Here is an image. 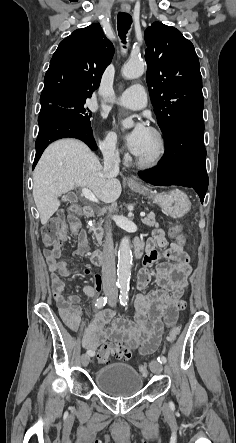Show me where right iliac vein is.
Masks as SVG:
<instances>
[{"label": "right iliac vein", "instance_id": "63e3f726", "mask_svg": "<svg viewBox=\"0 0 236 443\" xmlns=\"http://www.w3.org/2000/svg\"><path fill=\"white\" fill-rule=\"evenodd\" d=\"M90 362V356L88 354H82L81 355V363L84 367L88 366Z\"/></svg>", "mask_w": 236, "mask_h": 443}]
</instances>
